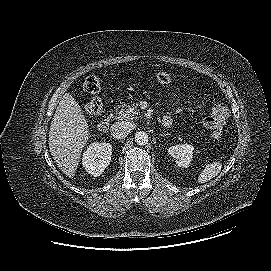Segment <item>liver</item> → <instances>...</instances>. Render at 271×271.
Wrapping results in <instances>:
<instances>
[{
    "label": "liver",
    "instance_id": "1",
    "mask_svg": "<svg viewBox=\"0 0 271 271\" xmlns=\"http://www.w3.org/2000/svg\"><path fill=\"white\" fill-rule=\"evenodd\" d=\"M88 127L80 105L70 93H65L53 116L48 143L56 165L70 178L75 176L89 140Z\"/></svg>",
    "mask_w": 271,
    "mask_h": 271
}]
</instances>
